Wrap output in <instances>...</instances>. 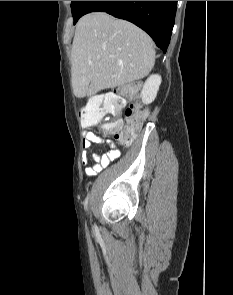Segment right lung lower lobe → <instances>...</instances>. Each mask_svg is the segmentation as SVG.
Listing matches in <instances>:
<instances>
[{
  "mask_svg": "<svg viewBox=\"0 0 233 295\" xmlns=\"http://www.w3.org/2000/svg\"><path fill=\"white\" fill-rule=\"evenodd\" d=\"M177 1H87L82 16L107 12L146 31L164 53L170 42Z\"/></svg>",
  "mask_w": 233,
  "mask_h": 295,
  "instance_id": "1",
  "label": "right lung lower lobe"
}]
</instances>
